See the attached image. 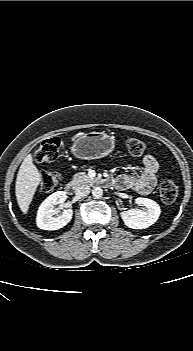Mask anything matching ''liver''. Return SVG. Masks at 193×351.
Instances as JSON below:
<instances>
[{
	"label": "liver",
	"mask_w": 193,
	"mask_h": 351,
	"mask_svg": "<svg viewBox=\"0 0 193 351\" xmlns=\"http://www.w3.org/2000/svg\"><path fill=\"white\" fill-rule=\"evenodd\" d=\"M40 181L41 174L33 164L32 155L28 154L19 168L15 183L16 199L23 214L28 212Z\"/></svg>",
	"instance_id": "1"
}]
</instances>
